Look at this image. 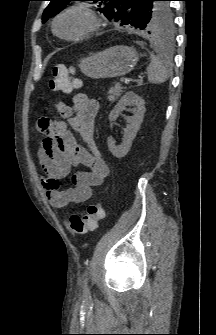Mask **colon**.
I'll return each instance as SVG.
<instances>
[{
    "label": "colon",
    "instance_id": "colon-1",
    "mask_svg": "<svg viewBox=\"0 0 216 335\" xmlns=\"http://www.w3.org/2000/svg\"><path fill=\"white\" fill-rule=\"evenodd\" d=\"M74 66L56 65L52 69V76L48 87L52 91L69 92L72 87H78L80 81L72 77ZM104 217L101 200L94 197L83 215L72 214L66 218V225L74 235H85L97 229Z\"/></svg>",
    "mask_w": 216,
    "mask_h": 335
}]
</instances>
